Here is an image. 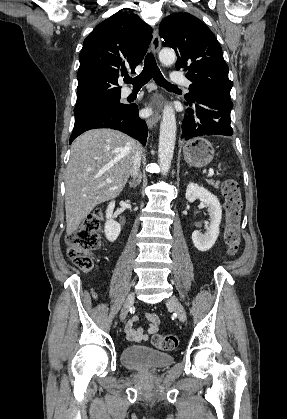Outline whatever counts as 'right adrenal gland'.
<instances>
[{
	"label": "right adrenal gland",
	"mask_w": 287,
	"mask_h": 419,
	"mask_svg": "<svg viewBox=\"0 0 287 419\" xmlns=\"http://www.w3.org/2000/svg\"><path fill=\"white\" fill-rule=\"evenodd\" d=\"M141 175L139 174L138 175V178H137V180L135 181V182H129V186L131 187V188H135L137 185H139L140 183H141Z\"/></svg>",
	"instance_id": "1"
}]
</instances>
